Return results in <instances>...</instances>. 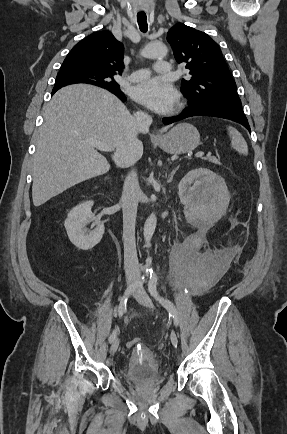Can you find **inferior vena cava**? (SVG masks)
<instances>
[{
  "label": "inferior vena cava",
  "instance_id": "1",
  "mask_svg": "<svg viewBox=\"0 0 287 434\" xmlns=\"http://www.w3.org/2000/svg\"><path fill=\"white\" fill-rule=\"evenodd\" d=\"M138 128L148 130L152 117L143 111L134 114ZM133 161L130 166H133ZM140 186L136 171L133 169L126 177L121 197L123 210V241H124V269L126 280L135 282L140 279L139 263L135 243V224L137 216Z\"/></svg>",
  "mask_w": 287,
  "mask_h": 434
}]
</instances>
